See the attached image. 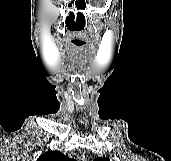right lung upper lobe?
Listing matches in <instances>:
<instances>
[{"label":"right lung upper lobe","mask_w":171,"mask_h":161,"mask_svg":"<svg viewBox=\"0 0 171 161\" xmlns=\"http://www.w3.org/2000/svg\"><path fill=\"white\" fill-rule=\"evenodd\" d=\"M37 161H74L71 158H68V156H65L64 154L58 152V151H48L41 155Z\"/></svg>","instance_id":"cb5924a9"}]
</instances>
